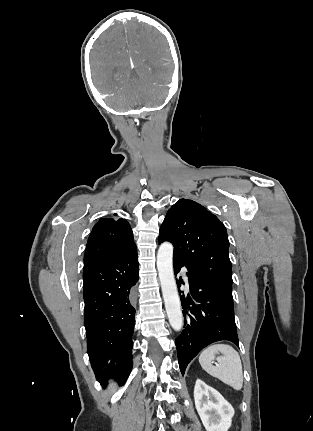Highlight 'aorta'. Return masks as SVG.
Listing matches in <instances>:
<instances>
[{
    "label": "aorta",
    "instance_id": "762f6f07",
    "mask_svg": "<svg viewBox=\"0 0 313 431\" xmlns=\"http://www.w3.org/2000/svg\"><path fill=\"white\" fill-rule=\"evenodd\" d=\"M157 269L169 323L175 331H180L183 315L173 272V245L169 242L162 243L158 249Z\"/></svg>",
    "mask_w": 313,
    "mask_h": 431
}]
</instances>
